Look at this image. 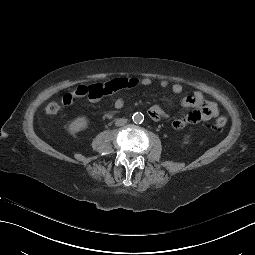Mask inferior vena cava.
I'll use <instances>...</instances> for the list:
<instances>
[{
    "instance_id": "1",
    "label": "inferior vena cava",
    "mask_w": 255,
    "mask_h": 255,
    "mask_svg": "<svg viewBox=\"0 0 255 255\" xmlns=\"http://www.w3.org/2000/svg\"><path fill=\"white\" fill-rule=\"evenodd\" d=\"M127 123V119L126 118H118L115 120V125L116 126H123Z\"/></svg>"
}]
</instances>
